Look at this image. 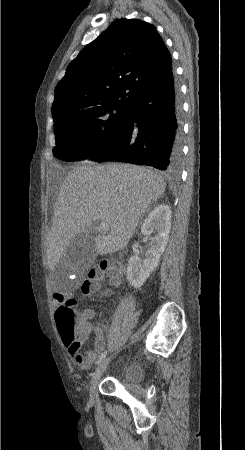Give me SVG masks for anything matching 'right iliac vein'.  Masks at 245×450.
<instances>
[{"instance_id": "63e3f726", "label": "right iliac vein", "mask_w": 245, "mask_h": 450, "mask_svg": "<svg viewBox=\"0 0 245 450\" xmlns=\"http://www.w3.org/2000/svg\"><path fill=\"white\" fill-rule=\"evenodd\" d=\"M108 363H109V358L103 359L91 377V380L88 385V394L91 399H93L95 397L97 384H98L103 372L106 370Z\"/></svg>"}]
</instances>
